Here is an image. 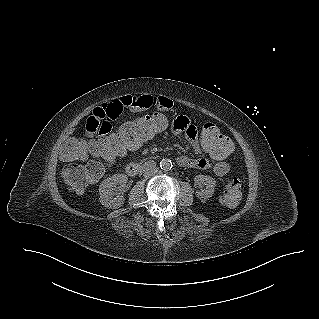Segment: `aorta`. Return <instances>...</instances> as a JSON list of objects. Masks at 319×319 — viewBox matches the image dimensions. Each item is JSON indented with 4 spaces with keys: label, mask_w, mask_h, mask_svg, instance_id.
Returning <instances> with one entry per match:
<instances>
[{
    "label": "aorta",
    "mask_w": 319,
    "mask_h": 319,
    "mask_svg": "<svg viewBox=\"0 0 319 319\" xmlns=\"http://www.w3.org/2000/svg\"><path fill=\"white\" fill-rule=\"evenodd\" d=\"M172 167H173V164L170 159H162L160 161V168L162 171L168 172L172 169Z\"/></svg>",
    "instance_id": "aorta-1"
}]
</instances>
